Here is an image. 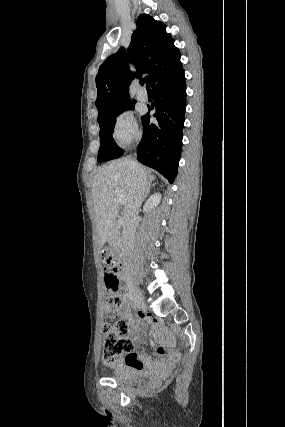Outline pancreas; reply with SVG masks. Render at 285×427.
Segmentation results:
<instances>
[{
    "mask_svg": "<svg viewBox=\"0 0 285 427\" xmlns=\"http://www.w3.org/2000/svg\"><path fill=\"white\" fill-rule=\"evenodd\" d=\"M108 243L111 246H119L120 245V231L118 228H114L111 231V235L108 238Z\"/></svg>",
    "mask_w": 285,
    "mask_h": 427,
    "instance_id": "1",
    "label": "pancreas"
}]
</instances>
